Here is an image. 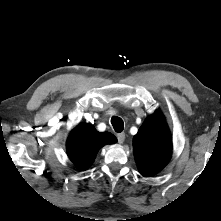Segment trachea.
Here are the masks:
<instances>
[{
    "label": "trachea",
    "mask_w": 221,
    "mask_h": 221,
    "mask_svg": "<svg viewBox=\"0 0 221 221\" xmlns=\"http://www.w3.org/2000/svg\"><path fill=\"white\" fill-rule=\"evenodd\" d=\"M111 123L113 125V128L114 130L117 132V133H120L123 131L124 129V123H123V120L119 117H112L111 119Z\"/></svg>",
    "instance_id": "1"
}]
</instances>
